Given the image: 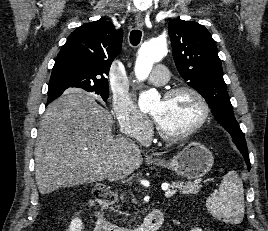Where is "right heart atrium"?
Masks as SVG:
<instances>
[{
	"label": "right heart atrium",
	"mask_w": 268,
	"mask_h": 231,
	"mask_svg": "<svg viewBox=\"0 0 268 231\" xmlns=\"http://www.w3.org/2000/svg\"><path fill=\"white\" fill-rule=\"evenodd\" d=\"M112 112L121 133L139 143L146 142L152 132V123L138 110L128 95L113 99Z\"/></svg>",
	"instance_id": "right-heart-atrium-1"
}]
</instances>
